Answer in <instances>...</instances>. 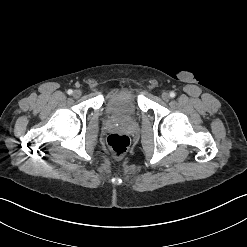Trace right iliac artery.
I'll return each instance as SVG.
<instances>
[{
  "label": "right iliac artery",
  "mask_w": 247,
  "mask_h": 247,
  "mask_svg": "<svg viewBox=\"0 0 247 247\" xmlns=\"http://www.w3.org/2000/svg\"><path fill=\"white\" fill-rule=\"evenodd\" d=\"M67 93H68L69 95H71V94L73 93V91H72L71 89H69V90L67 91Z\"/></svg>",
  "instance_id": "right-iliac-artery-1"
}]
</instances>
